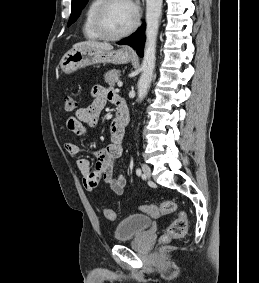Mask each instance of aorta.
Masks as SVG:
<instances>
[{
	"mask_svg": "<svg viewBox=\"0 0 259 283\" xmlns=\"http://www.w3.org/2000/svg\"><path fill=\"white\" fill-rule=\"evenodd\" d=\"M162 3L163 0H146V43L142 62V74L137 84L138 102H141L145 98L152 82Z\"/></svg>",
	"mask_w": 259,
	"mask_h": 283,
	"instance_id": "obj_1",
	"label": "aorta"
}]
</instances>
